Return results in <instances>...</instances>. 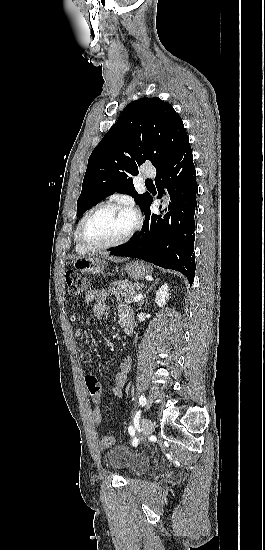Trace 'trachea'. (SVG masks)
<instances>
[{"mask_svg": "<svg viewBox=\"0 0 265 550\" xmlns=\"http://www.w3.org/2000/svg\"><path fill=\"white\" fill-rule=\"evenodd\" d=\"M145 183H146V184L152 183V180L147 179V180L145 181Z\"/></svg>", "mask_w": 265, "mask_h": 550, "instance_id": "1", "label": "trachea"}]
</instances>
